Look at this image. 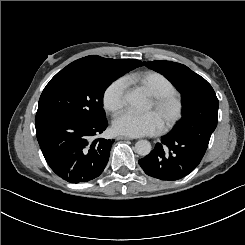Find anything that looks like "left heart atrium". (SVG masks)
<instances>
[{"label": "left heart atrium", "mask_w": 245, "mask_h": 245, "mask_svg": "<svg viewBox=\"0 0 245 245\" xmlns=\"http://www.w3.org/2000/svg\"><path fill=\"white\" fill-rule=\"evenodd\" d=\"M113 128L116 133L121 135L144 136L159 132L161 121L153 112L143 114L124 113L114 120Z\"/></svg>", "instance_id": "1"}]
</instances>
